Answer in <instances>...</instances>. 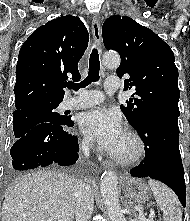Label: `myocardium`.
I'll list each match as a JSON object with an SVG mask.
<instances>
[{"label":"myocardium","mask_w":190,"mask_h":221,"mask_svg":"<svg viewBox=\"0 0 190 221\" xmlns=\"http://www.w3.org/2000/svg\"><path fill=\"white\" fill-rule=\"evenodd\" d=\"M125 132L132 138V140L135 143V151L134 153L129 157H120L110 151H108V156L111 160L114 162L124 165V166H130L133 164H136L141 160V158L144 155L145 146L144 142L141 138V136L132 128H126Z\"/></svg>","instance_id":"1"}]
</instances>
